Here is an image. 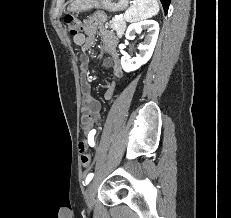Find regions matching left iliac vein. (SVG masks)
Instances as JSON below:
<instances>
[{"label": "left iliac vein", "mask_w": 231, "mask_h": 218, "mask_svg": "<svg viewBox=\"0 0 231 218\" xmlns=\"http://www.w3.org/2000/svg\"><path fill=\"white\" fill-rule=\"evenodd\" d=\"M94 191H95V182L92 181L85 192V201L90 210H92L94 206Z\"/></svg>", "instance_id": "4c4485c4"}]
</instances>
